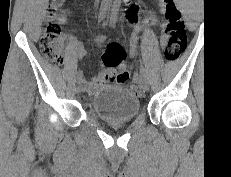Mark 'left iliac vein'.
<instances>
[{"instance_id": "1", "label": "left iliac vein", "mask_w": 231, "mask_h": 177, "mask_svg": "<svg viewBox=\"0 0 231 177\" xmlns=\"http://www.w3.org/2000/svg\"><path fill=\"white\" fill-rule=\"evenodd\" d=\"M140 83L144 90L147 91L149 89V80L146 76H141Z\"/></svg>"}]
</instances>
